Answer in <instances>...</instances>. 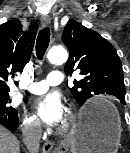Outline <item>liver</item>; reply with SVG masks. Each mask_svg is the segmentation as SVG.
Listing matches in <instances>:
<instances>
[{"mask_svg":"<svg viewBox=\"0 0 130 153\" xmlns=\"http://www.w3.org/2000/svg\"><path fill=\"white\" fill-rule=\"evenodd\" d=\"M0 153H20L19 141L2 125H0Z\"/></svg>","mask_w":130,"mask_h":153,"instance_id":"obj_1","label":"liver"}]
</instances>
